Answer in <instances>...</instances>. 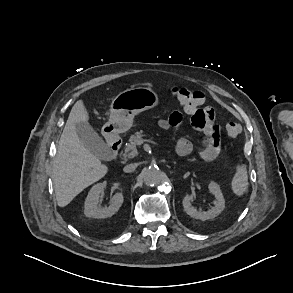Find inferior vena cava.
Returning <instances> with one entry per match:
<instances>
[{
	"mask_svg": "<svg viewBox=\"0 0 293 293\" xmlns=\"http://www.w3.org/2000/svg\"><path fill=\"white\" fill-rule=\"evenodd\" d=\"M137 167V163L128 164L123 168L125 173L133 172Z\"/></svg>",
	"mask_w": 293,
	"mask_h": 293,
	"instance_id": "602c4592",
	"label": "inferior vena cava"
}]
</instances>
